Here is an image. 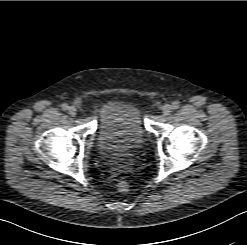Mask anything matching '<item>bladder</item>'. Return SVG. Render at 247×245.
<instances>
[{"instance_id":"1","label":"bladder","mask_w":247,"mask_h":245,"mask_svg":"<svg viewBox=\"0 0 247 245\" xmlns=\"http://www.w3.org/2000/svg\"><path fill=\"white\" fill-rule=\"evenodd\" d=\"M146 129L137 105L111 100L104 106L98 119L96 148L102 156L114 153H133L144 143Z\"/></svg>"}]
</instances>
